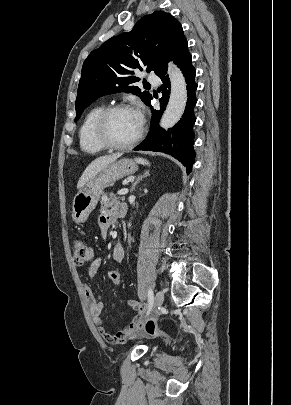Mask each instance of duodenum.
Returning <instances> with one entry per match:
<instances>
[{"label": "duodenum", "mask_w": 291, "mask_h": 405, "mask_svg": "<svg viewBox=\"0 0 291 405\" xmlns=\"http://www.w3.org/2000/svg\"><path fill=\"white\" fill-rule=\"evenodd\" d=\"M124 215H125V209L123 207H120L117 211V216L124 217Z\"/></svg>", "instance_id": "duodenum-1"}]
</instances>
